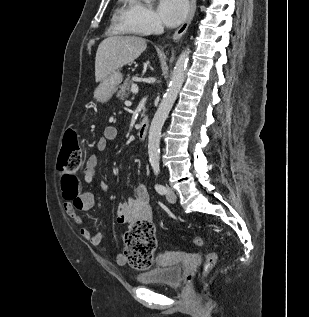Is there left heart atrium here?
Returning a JSON list of instances; mask_svg holds the SVG:
<instances>
[{
    "instance_id": "39dd6f15",
    "label": "left heart atrium",
    "mask_w": 309,
    "mask_h": 317,
    "mask_svg": "<svg viewBox=\"0 0 309 317\" xmlns=\"http://www.w3.org/2000/svg\"><path fill=\"white\" fill-rule=\"evenodd\" d=\"M187 0H160L158 12L163 23L169 27L177 26L188 13Z\"/></svg>"
}]
</instances>
